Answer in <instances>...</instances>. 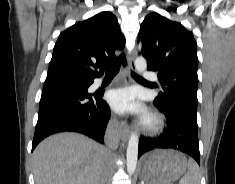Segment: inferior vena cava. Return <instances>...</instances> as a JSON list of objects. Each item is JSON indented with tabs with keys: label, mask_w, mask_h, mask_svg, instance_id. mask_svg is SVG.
Returning <instances> with one entry per match:
<instances>
[{
	"label": "inferior vena cava",
	"mask_w": 235,
	"mask_h": 184,
	"mask_svg": "<svg viewBox=\"0 0 235 184\" xmlns=\"http://www.w3.org/2000/svg\"><path fill=\"white\" fill-rule=\"evenodd\" d=\"M118 140H119L118 124L116 120H112V122H109L106 128L104 142L106 146H109V148H118Z\"/></svg>",
	"instance_id": "obj_1"
}]
</instances>
